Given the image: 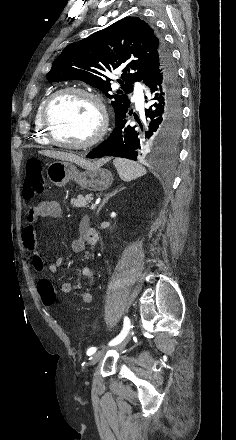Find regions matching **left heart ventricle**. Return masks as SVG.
<instances>
[{"label": "left heart ventricle", "mask_w": 236, "mask_h": 440, "mask_svg": "<svg viewBox=\"0 0 236 440\" xmlns=\"http://www.w3.org/2000/svg\"><path fill=\"white\" fill-rule=\"evenodd\" d=\"M49 121L58 141L77 144L93 136L98 126V113L88 98L68 94L52 103Z\"/></svg>", "instance_id": "left-heart-ventricle-1"}]
</instances>
